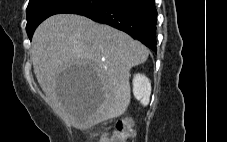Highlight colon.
<instances>
[{
	"label": "colon",
	"instance_id": "colon-1",
	"mask_svg": "<svg viewBox=\"0 0 227 142\" xmlns=\"http://www.w3.org/2000/svg\"><path fill=\"white\" fill-rule=\"evenodd\" d=\"M134 134V124L131 119L118 121L114 129L105 132L99 142H127Z\"/></svg>",
	"mask_w": 227,
	"mask_h": 142
}]
</instances>
